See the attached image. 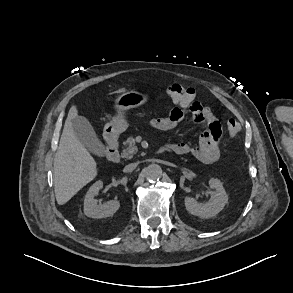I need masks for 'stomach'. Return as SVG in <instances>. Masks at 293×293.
I'll return each mask as SVG.
<instances>
[{
	"label": "stomach",
	"instance_id": "stomach-1",
	"mask_svg": "<svg viewBox=\"0 0 293 293\" xmlns=\"http://www.w3.org/2000/svg\"><path fill=\"white\" fill-rule=\"evenodd\" d=\"M149 100L148 96L137 91L124 92L115 100L116 115L104 127V133L109 137H115L128 128L126 112L137 108Z\"/></svg>",
	"mask_w": 293,
	"mask_h": 293
}]
</instances>
